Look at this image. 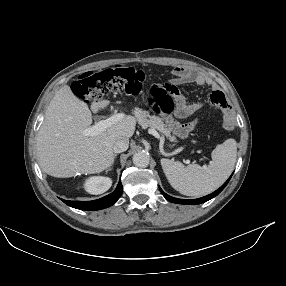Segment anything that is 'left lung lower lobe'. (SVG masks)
Listing matches in <instances>:
<instances>
[{"label": "left lung lower lobe", "mask_w": 286, "mask_h": 286, "mask_svg": "<svg viewBox=\"0 0 286 286\" xmlns=\"http://www.w3.org/2000/svg\"><path fill=\"white\" fill-rule=\"evenodd\" d=\"M232 176V175H231ZM230 176V178H231ZM230 178L218 189L216 190L215 192H213L212 194H209L205 197H202V198H198V199H192V200H185V199H178V198H174V197H171L169 195H167L166 193H164L162 191V189L160 188V191L161 193L163 194V196L173 202V203H178V204H189V205H192V204H200V203H204L210 199H212L213 197H215L216 195H218L224 188L225 186L227 185V183L229 182Z\"/></svg>", "instance_id": "0a47b994"}]
</instances>
